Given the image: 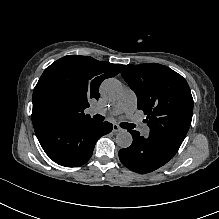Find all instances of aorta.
<instances>
[{
    "label": "aorta",
    "instance_id": "762f6f07",
    "mask_svg": "<svg viewBox=\"0 0 219 219\" xmlns=\"http://www.w3.org/2000/svg\"><path fill=\"white\" fill-rule=\"evenodd\" d=\"M100 91L104 97L113 100L120 96L122 84L115 78H109L102 82ZM115 141L120 148H128L131 146L133 138L128 131L123 130L117 133Z\"/></svg>",
    "mask_w": 219,
    "mask_h": 219
}]
</instances>
